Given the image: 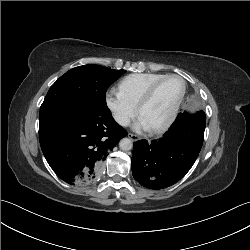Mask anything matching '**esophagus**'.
Segmentation results:
<instances>
[{"mask_svg": "<svg viewBox=\"0 0 250 250\" xmlns=\"http://www.w3.org/2000/svg\"><path fill=\"white\" fill-rule=\"evenodd\" d=\"M128 137L132 140V141H137L139 139V137L135 134L132 133H128Z\"/></svg>", "mask_w": 250, "mask_h": 250, "instance_id": "esophagus-1", "label": "esophagus"}]
</instances>
